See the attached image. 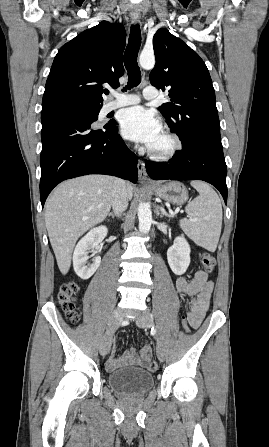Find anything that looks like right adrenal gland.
<instances>
[{
    "label": "right adrenal gland",
    "instance_id": "1",
    "mask_svg": "<svg viewBox=\"0 0 269 447\" xmlns=\"http://www.w3.org/2000/svg\"><path fill=\"white\" fill-rule=\"evenodd\" d=\"M109 218H112V220H114L115 216L114 214H112V212H110V214H108Z\"/></svg>",
    "mask_w": 269,
    "mask_h": 447
}]
</instances>
